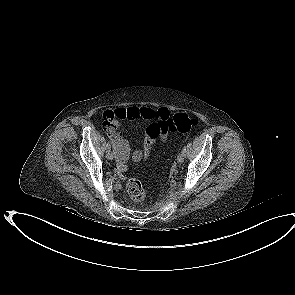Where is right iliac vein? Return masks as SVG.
<instances>
[{"label": "right iliac vein", "instance_id": "63e3f726", "mask_svg": "<svg viewBox=\"0 0 295 295\" xmlns=\"http://www.w3.org/2000/svg\"><path fill=\"white\" fill-rule=\"evenodd\" d=\"M106 157L109 160H113L115 158V152L112 151L111 149H107V151H106Z\"/></svg>", "mask_w": 295, "mask_h": 295}]
</instances>
